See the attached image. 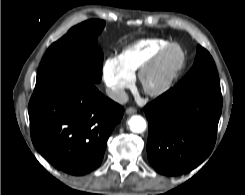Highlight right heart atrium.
Masks as SVG:
<instances>
[{
    "label": "right heart atrium",
    "instance_id": "d8ad5b80",
    "mask_svg": "<svg viewBox=\"0 0 245 195\" xmlns=\"http://www.w3.org/2000/svg\"><path fill=\"white\" fill-rule=\"evenodd\" d=\"M102 79L109 97L116 102L124 100L126 90L133 83V77L122 68L116 57H109L104 60Z\"/></svg>",
    "mask_w": 245,
    "mask_h": 195
}]
</instances>
